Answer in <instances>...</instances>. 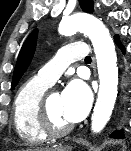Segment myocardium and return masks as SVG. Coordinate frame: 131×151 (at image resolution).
I'll list each match as a JSON object with an SVG mask.
<instances>
[{
    "mask_svg": "<svg viewBox=\"0 0 131 151\" xmlns=\"http://www.w3.org/2000/svg\"><path fill=\"white\" fill-rule=\"evenodd\" d=\"M53 93H57V92L54 90H47L43 94L39 102L38 119H39V124H40L41 129L47 136L60 137L71 132L74 126L72 124H69L63 127H59V126H56L54 122L52 121V118L49 112L48 102H49L50 96Z\"/></svg>",
    "mask_w": 131,
    "mask_h": 151,
    "instance_id": "myocardium-1",
    "label": "myocardium"
}]
</instances>
